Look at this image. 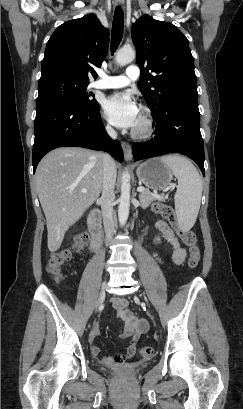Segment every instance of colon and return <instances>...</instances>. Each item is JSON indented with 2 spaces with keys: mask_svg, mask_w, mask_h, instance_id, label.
Here are the masks:
<instances>
[{
  "mask_svg": "<svg viewBox=\"0 0 243 409\" xmlns=\"http://www.w3.org/2000/svg\"><path fill=\"white\" fill-rule=\"evenodd\" d=\"M152 208L156 214H159L168 220L176 229L182 242L189 248V266L192 268L196 267L200 260V249L197 245L195 232L193 230H181L179 228L176 212L172 206L163 203H154ZM87 240L88 237L86 235H80L77 237L75 245L72 249H60L50 256L47 264V270L57 281H60L63 278L61 267L72 258L74 253L81 252L84 249L85 245L87 244ZM139 353L143 359H150L153 356V349L151 347L144 346L140 348Z\"/></svg>",
  "mask_w": 243,
  "mask_h": 409,
  "instance_id": "1",
  "label": "colon"
}]
</instances>
